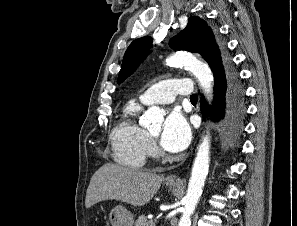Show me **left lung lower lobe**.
I'll use <instances>...</instances> for the list:
<instances>
[{
  "label": "left lung lower lobe",
  "mask_w": 297,
  "mask_h": 226,
  "mask_svg": "<svg viewBox=\"0 0 297 226\" xmlns=\"http://www.w3.org/2000/svg\"><path fill=\"white\" fill-rule=\"evenodd\" d=\"M214 107L213 118L223 119L227 139L235 143L243 130V119L246 108L244 104V91L239 83L237 72L228 60L223 71L214 75ZM203 117L208 115V109L201 99Z\"/></svg>",
  "instance_id": "obj_1"
}]
</instances>
